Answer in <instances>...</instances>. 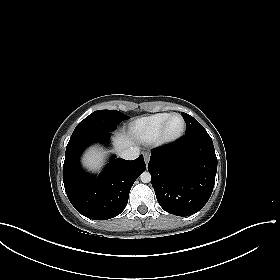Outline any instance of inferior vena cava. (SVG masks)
I'll return each mask as SVG.
<instances>
[{"label": "inferior vena cava", "instance_id": "obj_1", "mask_svg": "<svg viewBox=\"0 0 280 280\" xmlns=\"http://www.w3.org/2000/svg\"><path fill=\"white\" fill-rule=\"evenodd\" d=\"M138 147H128L120 153L121 158L125 160H134L139 156Z\"/></svg>", "mask_w": 280, "mask_h": 280}]
</instances>
